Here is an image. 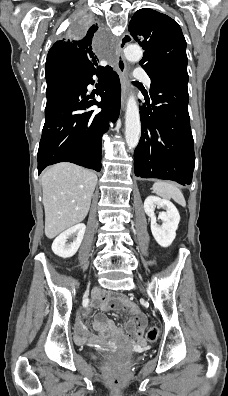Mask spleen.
<instances>
[{"instance_id":"1","label":"spleen","mask_w":228,"mask_h":396,"mask_svg":"<svg viewBox=\"0 0 228 396\" xmlns=\"http://www.w3.org/2000/svg\"><path fill=\"white\" fill-rule=\"evenodd\" d=\"M152 189L158 196L165 199H173L181 206H186V201L182 192L174 184L165 181H157L153 184Z\"/></svg>"}]
</instances>
